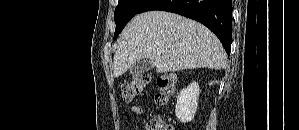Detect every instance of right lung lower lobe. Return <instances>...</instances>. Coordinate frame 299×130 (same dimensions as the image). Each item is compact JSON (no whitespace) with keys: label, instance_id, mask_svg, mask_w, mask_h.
I'll list each match as a JSON object with an SVG mask.
<instances>
[{"label":"right lung lower lobe","instance_id":"98d812e1","mask_svg":"<svg viewBox=\"0 0 299 130\" xmlns=\"http://www.w3.org/2000/svg\"><path fill=\"white\" fill-rule=\"evenodd\" d=\"M162 10L194 19L208 27L230 54L232 40L231 0H148L139 13Z\"/></svg>","mask_w":299,"mask_h":130}]
</instances>
